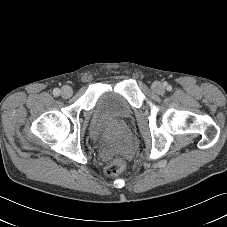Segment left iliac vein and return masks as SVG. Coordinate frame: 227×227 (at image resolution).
Listing matches in <instances>:
<instances>
[{
    "label": "left iliac vein",
    "mask_w": 227,
    "mask_h": 227,
    "mask_svg": "<svg viewBox=\"0 0 227 227\" xmlns=\"http://www.w3.org/2000/svg\"><path fill=\"white\" fill-rule=\"evenodd\" d=\"M152 90L157 94H162L164 92V86L156 81L152 84Z\"/></svg>",
    "instance_id": "1"
}]
</instances>
